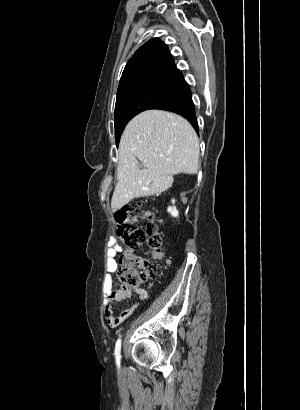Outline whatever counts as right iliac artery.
<instances>
[{"instance_id":"obj_1","label":"right iliac artery","mask_w":300,"mask_h":410,"mask_svg":"<svg viewBox=\"0 0 300 410\" xmlns=\"http://www.w3.org/2000/svg\"><path fill=\"white\" fill-rule=\"evenodd\" d=\"M120 353H121V339L119 338L115 345V357H116V363L118 367L120 366V358H121Z\"/></svg>"}]
</instances>
